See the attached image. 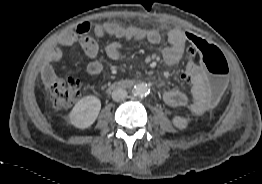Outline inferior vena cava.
<instances>
[{
	"label": "inferior vena cava",
	"mask_w": 262,
	"mask_h": 184,
	"mask_svg": "<svg viewBox=\"0 0 262 184\" xmlns=\"http://www.w3.org/2000/svg\"><path fill=\"white\" fill-rule=\"evenodd\" d=\"M127 97V91L122 88H117L112 92V99L115 101L124 100Z\"/></svg>",
	"instance_id": "obj_1"
}]
</instances>
